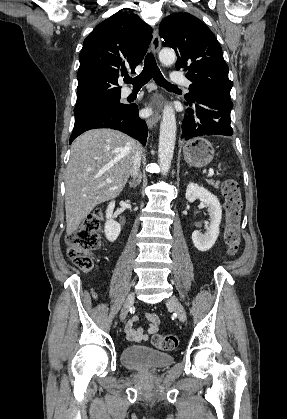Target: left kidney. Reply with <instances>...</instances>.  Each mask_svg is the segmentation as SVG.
Masks as SVG:
<instances>
[{
  "label": "left kidney",
  "mask_w": 287,
  "mask_h": 419,
  "mask_svg": "<svg viewBox=\"0 0 287 419\" xmlns=\"http://www.w3.org/2000/svg\"><path fill=\"white\" fill-rule=\"evenodd\" d=\"M185 197L190 203L200 199L208 208L210 215L208 230L204 234L197 230L192 233V241L195 247L201 252L208 251L215 244L220 232L219 226L222 219L220 202L215 195L195 183L188 184Z\"/></svg>",
  "instance_id": "5707ae66"
}]
</instances>
